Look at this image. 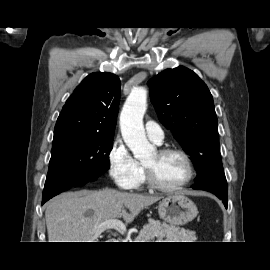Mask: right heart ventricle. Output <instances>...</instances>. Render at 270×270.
<instances>
[{
	"instance_id": "1",
	"label": "right heart ventricle",
	"mask_w": 270,
	"mask_h": 270,
	"mask_svg": "<svg viewBox=\"0 0 270 270\" xmlns=\"http://www.w3.org/2000/svg\"><path fill=\"white\" fill-rule=\"evenodd\" d=\"M144 181H145L144 171H143V168L141 167V174L136 184V187L141 186L144 183Z\"/></svg>"
}]
</instances>
